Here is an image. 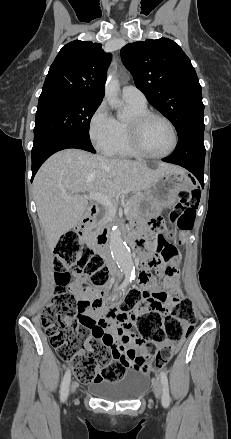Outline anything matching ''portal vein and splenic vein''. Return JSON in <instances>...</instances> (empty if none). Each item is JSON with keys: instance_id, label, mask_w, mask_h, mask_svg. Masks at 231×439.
I'll return each mask as SVG.
<instances>
[{"instance_id": "18ae733b", "label": "portal vein and splenic vein", "mask_w": 231, "mask_h": 439, "mask_svg": "<svg viewBox=\"0 0 231 439\" xmlns=\"http://www.w3.org/2000/svg\"><path fill=\"white\" fill-rule=\"evenodd\" d=\"M87 198L94 200L96 202H99L100 204L104 205L105 207L108 208L110 214L115 215L116 213V207L114 206V204L112 203L111 199L108 198L107 196H105L101 191L99 192H93L90 193L88 196H86ZM129 211L128 207L124 208V213L127 214Z\"/></svg>"}]
</instances>
